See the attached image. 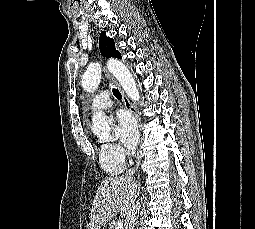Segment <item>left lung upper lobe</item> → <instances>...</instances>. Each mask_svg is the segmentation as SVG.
Instances as JSON below:
<instances>
[{
    "label": "left lung upper lobe",
    "mask_w": 255,
    "mask_h": 229,
    "mask_svg": "<svg viewBox=\"0 0 255 229\" xmlns=\"http://www.w3.org/2000/svg\"><path fill=\"white\" fill-rule=\"evenodd\" d=\"M99 48L101 55L105 57L121 58L120 53L116 50L114 40L106 36L105 32H101L99 38Z\"/></svg>",
    "instance_id": "5c2ea615"
}]
</instances>
